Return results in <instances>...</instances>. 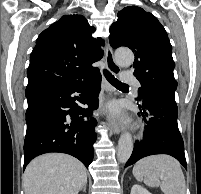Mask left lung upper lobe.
<instances>
[{"instance_id":"1","label":"left lung upper lobe","mask_w":201,"mask_h":194,"mask_svg":"<svg viewBox=\"0 0 201 194\" xmlns=\"http://www.w3.org/2000/svg\"><path fill=\"white\" fill-rule=\"evenodd\" d=\"M109 41L113 48L126 46L135 54L134 75L141 84L142 100L153 93L175 97L177 81L173 74L172 46L155 16L140 7H125L110 27Z\"/></svg>"}]
</instances>
